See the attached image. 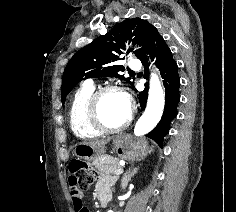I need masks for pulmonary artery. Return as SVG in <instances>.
<instances>
[{
    "label": "pulmonary artery",
    "instance_id": "e3ab8cb5",
    "mask_svg": "<svg viewBox=\"0 0 236 212\" xmlns=\"http://www.w3.org/2000/svg\"><path fill=\"white\" fill-rule=\"evenodd\" d=\"M129 67L132 70H138L140 68V63L138 60H130L129 61Z\"/></svg>",
    "mask_w": 236,
    "mask_h": 212
}]
</instances>
